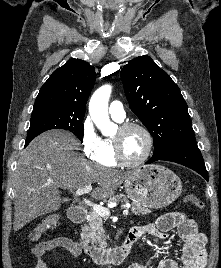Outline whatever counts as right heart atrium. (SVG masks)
I'll return each instance as SVG.
<instances>
[{"label":"right heart atrium","mask_w":221,"mask_h":268,"mask_svg":"<svg viewBox=\"0 0 221 268\" xmlns=\"http://www.w3.org/2000/svg\"><path fill=\"white\" fill-rule=\"evenodd\" d=\"M81 146L89 160L98 162L103 151V139L97 133L90 117H86L82 122Z\"/></svg>","instance_id":"1"}]
</instances>
